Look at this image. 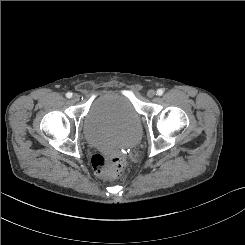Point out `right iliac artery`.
Here are the masks:
<instances>
[{"mask_svg": "<svg viewBox=\"0 0 245 245\" xmlns=\"http://www.w3.org/2000/svg\"><path fill=\"white\" fill-rule=\"evenodd\" d=\"M66 97L67 98H71L72 97V93L71 92L66 93Z\"/></svg>", "mask_w": 245, "mask_h": 245, "instance_id": "right-iliac-artery-1", "label": "right iliac artery"}]
</instances>
